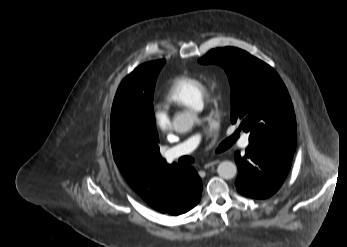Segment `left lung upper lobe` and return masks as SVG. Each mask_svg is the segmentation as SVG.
Listing matches in <instances>:
<instances>
[{
	"mask_svg": "<svg viewBox=\"0 0 347 247\" xmlns=\"http://www.w3.org/2000/svg\"><path fill=\"white\" fill-rule=\"evenodd\" d=\"M199 62L225 69L231 85V121L250 133L249 145L296 148L293 105L271 66L234 47L212 49Z\"/></svg>",
	"mask_w": 347,
	"mask_h": 247,
	"instance_id": "1",
	"label": "left lung upper lobe"
}]
</instances>
